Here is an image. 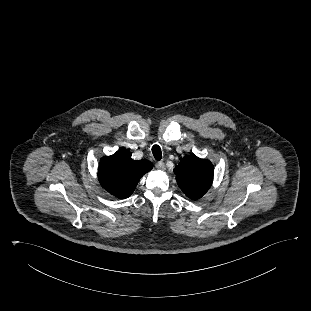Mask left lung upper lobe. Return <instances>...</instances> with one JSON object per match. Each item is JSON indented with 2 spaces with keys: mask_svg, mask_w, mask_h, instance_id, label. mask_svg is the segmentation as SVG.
I'll list each match as a JSON object with an SVG mask.
<instances>
[{
  "mask_svg": "<svg viewBox=\"0 0 311 311\" xmlns=\"http://www.w3.org/2000/svg\"><path fill=\"white\" fill-rule=\"evenodd\" d=\"M174 173L180 189L190 199L197 200L211 187L214 168L209 160L190 154L181 159Z\"/></svg>",
  "mask_w": 311,
  "mask_h": 311,
  "instance_id": "left-lung-upper-lobe-1",
  "label": "left lung upper lobe"
}]
</instances>
